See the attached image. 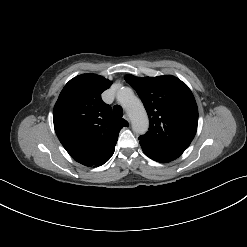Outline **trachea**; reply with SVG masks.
Wrapping results in <instances>:
<instances>
[{"label": "trachea", "instance_id": "3493384b", "mask_svg": "<svg viewBox=\"0 0 247 247\" xmlns=\"http://www.w3.org/2000/svg\"><path fill=\"white\" fill-rule=\"evenodd\" d=\"M113 112L116 116L118 117H122L123 116V109L121 108V106L119 105H115L113 107Z\"/></svg>", "mask_w": 247, "mask_h": 247}]
</instances>
